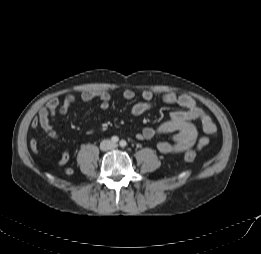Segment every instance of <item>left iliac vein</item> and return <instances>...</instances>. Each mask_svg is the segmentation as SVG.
Listing matches in <instances>:
<instances>
[{
    "label": "left iliac vein",
    "instance_id": "1",
    "mask_svg": "<svg viewBox=\"0 0 261 254\" xmlns=\"http://www.w3.org/2000/svg\"><path fill=\"white\" fill-rule=\"evenodd\" d=\"M112 148L113 149L117 148V144H112Z\"/></svg>",
    "mask_w": 261,
    "mask_h": 254
}]
</instances>
